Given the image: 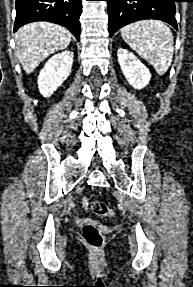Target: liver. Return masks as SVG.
<instances>
[{
  "label": "liver",
  "instance_id": "6515ba94",
  "mask_svg": "<svg viewBox=\"0 0 193 287\" xmlns=\"http://www.w3.org/2000/svg\"><path fill=\"white\" fill-rule=\"evenodd\" d=\"M72 34L64 27L35 22L21 27L15 34L17 57L26 73L33 72L49 55L65 49Z\"/></svg>",
  "mask_w": 193,
  "mask_h": 287
}]
</instances>
